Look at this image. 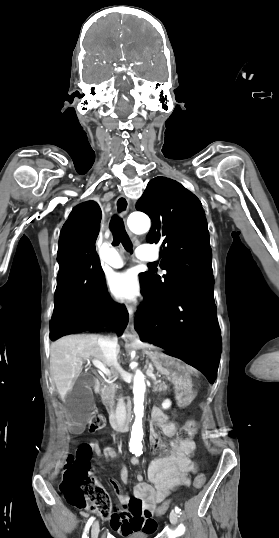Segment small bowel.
<instances>
[{"instance_id": "obj_1", "label": "small bowel", "mask_w": 279, "mask_h": 538, "mask_svg": "<svg viewBox=\"0 0 279 538\" xmlns=\"http://www.w3.org/2000/svg\"><path fill=\"white\" fill-rule=\"evenodd\" d=\"M156 428H159L164 435L172 437L176 433V425L171 422H165L161 414L154 415L153 424L150 433V442L155 452L165 449V442L157 435ZM89 446L103 459H108L115 455L110 448L100 450L97 442L89 443ZM189 445L179 442H172L171 452L157 456L150 464L148 478L150 484L143 482L141 475L137 476L138 484L134 487V495L143 502L144 507L153 509L160 504L168 495L179 487L188 486L190 483V460L188 456ZM131 464L136 466L139 459L134 457ZM121 479L127 486V470L124 465L121 468ZM119 499L127 503L129 497L127 494H119ZM111 528L121 535L132 531H143L153 533L156 529V522L152 514L148 513L139 517H122L114 514L110 519Z\"/></svg>"}]
</instances>
